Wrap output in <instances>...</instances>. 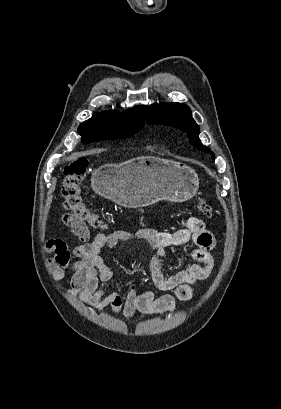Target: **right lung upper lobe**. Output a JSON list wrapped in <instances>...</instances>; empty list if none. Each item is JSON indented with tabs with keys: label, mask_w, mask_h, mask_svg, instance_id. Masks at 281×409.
I'll return each instance as SVG.
<instances>
[{
	"label": "right lung upper lobe",
	"mask_w": 281,
	"mask_h": 409,
	"mask_svg": "<svg viewBox=\"0 0 281 409\" xmlns=\"http://www.w3.org/2000/svg\"><path fill=\"white\" fill-rule=\"evenodd\" d=\"M144 125L140 106L124 111H104L83 122L79 127H129Z\"/></svg>",
	"instance_id": "cb5924a9"
}]
</instances>
